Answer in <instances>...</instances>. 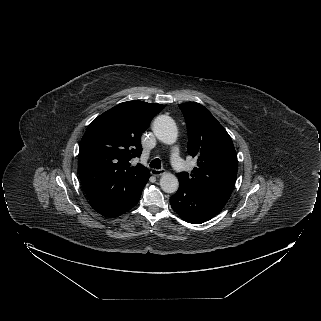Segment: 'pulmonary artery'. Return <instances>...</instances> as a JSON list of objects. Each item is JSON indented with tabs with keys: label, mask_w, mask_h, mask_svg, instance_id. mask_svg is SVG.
I'll return each mask as SVG.
<instances>
[{
	"label": "pulmonary artery",
	"mask_w": 321,
	"mask_h": 321,
	"mask_svg": "<svg viewBox=\"0 0 321 321\" xmlns=\"http://www.w3.org/2000/svg\"><path fill=\"white\" fill-rule=\"evenodd\" d=\"M171 164L174 170L178 173H182L185 170V164L183 160L180 158L178 150L175 149L171 156Z\"/></svg>",
	"instance_id": "e3ab8cb5"
}]
</instances>
